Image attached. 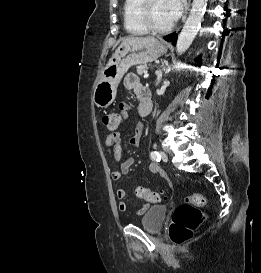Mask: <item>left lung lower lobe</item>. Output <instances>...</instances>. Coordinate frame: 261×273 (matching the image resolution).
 <instances>
[{
    "label": "left lung lower lobe",
    "mask_w": 261,
    "mask_h": 273,
    "mask_svg": "<svg viewBox=\"0 0 261 273\" xmlns=\"http://www.w3.org/2000/svg\"><path fill=\"white\" fill-rule=\"evenodd\" d=\"M164 39L167 41H172L173 45H176L177 34H171L170 36H166ZM197 63L199 65L201 64L200 58L197 59Z\"/></svg>",
    "instance_id": "left-lung-lower-lobe-1"
}]
</instances>
